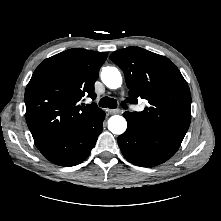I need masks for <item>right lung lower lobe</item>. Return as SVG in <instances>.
<instances>
[{"label":"right lung lower lobe","mask_w":221,"mask_h":221,"mask_svg":"<svg viewBox=\"0 0 221 221\" xmlns=\"http://www.w3.org/2000/svg\"><path fill=\"white\" fill-rule=\"evenodd\" d=\"M105 112L86 120L69 138L42 147L40 152L51 162L60 166H74L83 162L94 147L102 131Z\"/></svg>","instance_id":"right-lung-lower-lobe-1"}]
</instances>
